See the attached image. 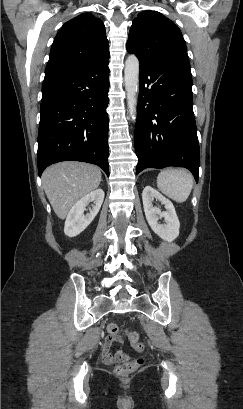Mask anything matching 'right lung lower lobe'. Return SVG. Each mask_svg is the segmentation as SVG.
<instances>
[{
  "mask_svg": "<svg viewBox=\"0 0 243 409\" xmlns=\"http://www.w3.org/2000/svg\"><path fill=\"white\" fill-rule=\"evenodd\" d=\"M109 55L45 77L38 133V172L65 160L96 164L109 176Z\"/></svg>",
  "mask_w": 243,
  "mask_h": 409,
  "instance_id": "right-lung-lower-lobe-1",
  "label": "right lung lower lobe"
}]
</instances>
